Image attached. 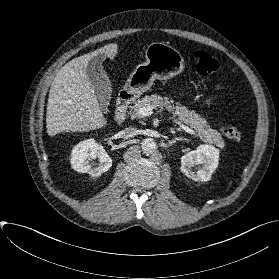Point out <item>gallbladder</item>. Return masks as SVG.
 <instances>
[{
    "label": "gallbladder",
    "mask_w": 279,
    "mask_h": 279,
    "mask_svg": "<svg viewBox=\"0 0 279 279\" xmlns=\"http://www.w3.org/2000/svg\"><path fill=\"white\" fill-rule=\"evenodd\" d=\"M104 56L99 54L94 56L86 67V74L92 87L95 89L102 109L109 105L112 94L110 79L103 67Z\"/></svg>",
    "instance_id": "obj_1"
}]
</instances>
